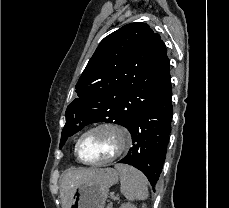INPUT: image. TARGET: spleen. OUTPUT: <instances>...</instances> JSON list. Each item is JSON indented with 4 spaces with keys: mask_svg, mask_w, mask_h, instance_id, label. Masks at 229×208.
<instances>
[{
    "mask_svg": "<svg viewBox=\"0 0 229 208\" xmlns=\"http://www.w3.org/2000/svg\"><path fill=\"white\" fill-rule=\"evenodd\" d=\"M115 168L119 172L120 190L123 196L130 202L147 200L149 196L148 182L144 174L132 166H125V164H115ZM143 208H145V204Z\"/></svg>",
    "mask_w": 229,
    "mask_h": 208,
    "instance_id": "spleen-1",
    "label": "spleen"
}]
</instances>
